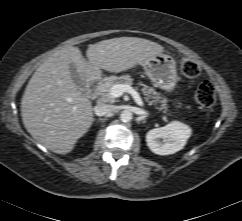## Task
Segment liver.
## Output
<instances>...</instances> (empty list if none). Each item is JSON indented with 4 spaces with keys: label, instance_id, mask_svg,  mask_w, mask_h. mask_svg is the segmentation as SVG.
Masks as SVG:
<instances>
[{
    "label": "liver",
    "instance_id": "1",
    "mask_svg": "<svg viewBox=\"0 0 242 221\" xmlns=\"http://www.w3.org/2000/svg\"><path fill=\"white\" fill-rule=\"evenodd\" d=\"M164 47L147 39L119 37L90 44L88 61L75 46H65L48 57L28 82L21 101V116L28 133L57 154L72 151L90 128L91 101L74 83L73 63L86 83L101 78L102 70L119 73L144 64Z\"/></svg>",
    "mask_w": 242,
    "mask_h": 221
}]
</instances>
